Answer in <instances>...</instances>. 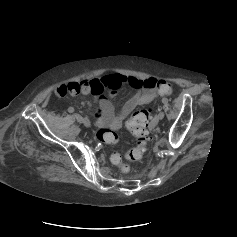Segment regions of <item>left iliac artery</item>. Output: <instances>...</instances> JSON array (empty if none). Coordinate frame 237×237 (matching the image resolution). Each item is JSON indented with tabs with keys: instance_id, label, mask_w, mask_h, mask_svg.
I'll use <instances>...</instances> for the list:
<instances>
[{
	"instance_id": "obj_1",
	"label": "left iliac artery",
	"mask_w": 237,
	"mask_h": 237,
	"mask_svg": "<svg viewBox=\"0 0 237 237\" xmlns=\"http://www.w3.org/2000/svg\"><path fill=\"white\" fill-rule=\"evenodd\" d=\"M162 102H163L164 104H166V103L168 102V99H167V98H163V99H162Z\"/></svg>"
}]
</instances>
